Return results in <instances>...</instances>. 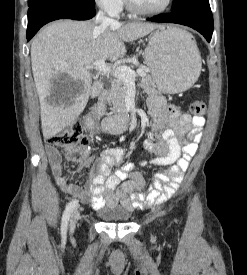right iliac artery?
Wrapping results in <instances>:
<instances>
[{
    "instance_id": "1",
    "label": "right iliac artery",
    "mask_w": 247,
    "mask_h": 275,
    "mask_svg": "<svg viewBox=\"0 0 247 275\" xmlns=\"http://www.w3.org/2000/svg\"><path fill=\"white\" fill-rule=\"evenodd\" d=\"M77 205H78V200L74 199L71 202H69L65 208V211L62 216V224H61V233L63 236L66 234L70 215L73 212L74 208L77 207Z\"/></svg>"
}]
</instances>
